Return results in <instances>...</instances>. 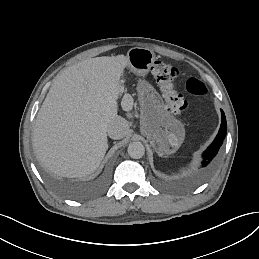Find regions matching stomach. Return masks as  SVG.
<instances>
[{
    "label": "stomach",
    "instance_id": "stomach-1",
    "mask_svg": "<svg viewBox=\"0 0 259 259\" xmlns=\"http://www.w3.org/2000/svg\"><path fill=\"white\" fill-rule=\"evenodd\" d=\"M127 59L130 70L134 74L142 76L150 71L156 60V55L148 48L135 47L128 51Z\"/></svg>",
    "mask_w": 259,
    "mask_h": 259
}]
</instances>
